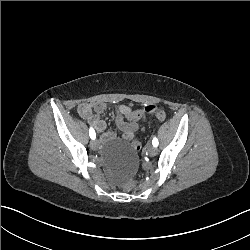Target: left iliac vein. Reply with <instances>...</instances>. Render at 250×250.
<instances>
[{"mask_svg":"<svg viewBox=\"0 0 250 250\" xmlns=\"http://www.w3.org/2000/svg\"><path fill=\"white\" fill-rule=\"evenodd\" d=\"M146 151H147L149 156H155L157 153V148L154 146H148V147H146Z\"/></svg>","mask_w":250,"mask_h":250,"instance_id":"obj_1","label":"left iliac vein"}]
</instances>
